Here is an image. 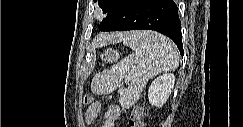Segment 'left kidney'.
<instances>
[{
    "label": "left kidney",
    "instance_id": "5707ae66",
    "mask_svg": "<svg viewBox=\"0 0 243 127\" xmlns=\"http://www.w3.org/2000/svg\"><path fill=\"white\" fill-rule=\"evenodd\" d=\"M174 83V74L166 73L154 79L148 89L149 103L156 107L163 106L171 94Z\"/></svg>",
    "mask_w": 243,
    "mask_h": 127
}]
</instances>
